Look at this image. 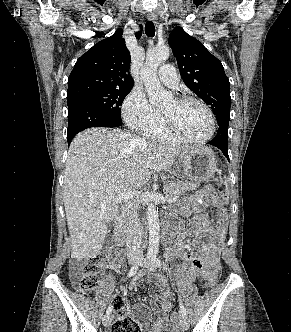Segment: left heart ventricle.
Segmentation results:
<instances>
[{
  "instance_id": "1",
  "label": "left heart ventricle",
  "mask_w": 291,
  "mask_h": 332,
  "mask_svg": "<svg viewBox=\"0 0 291 332\" xmlns=\"http://www.w3.org/2000/svg\"><path fill=\"white\" fill-rule=\"evenodd\" d=\"M161 111L170 117L175 126L187 136L202 138L209 133V117L196 103L177 104L172 99L162 106Z\"/></svg>"
}]
</instances>
